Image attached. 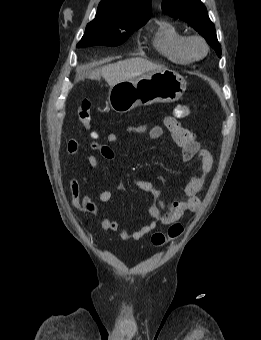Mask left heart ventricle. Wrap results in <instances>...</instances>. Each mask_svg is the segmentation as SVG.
<instances>
[{
    "mask_svg": "<svg viewBox=\"0 0 261 340\" xmlns=\"http://www.w3.org/2000/svg\"><path fill=\"white\" fill-rule=\"evenodd\" d=\"M198 51H201V48H200V47H198Z\"/></svg>",
    "mask_w": 261,
    "mask_h": 340,
    "instance_id": "obj_1",
    "label": "left heart ventricle"
}]
</instances>
